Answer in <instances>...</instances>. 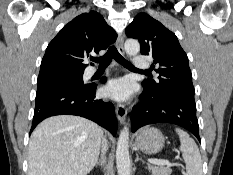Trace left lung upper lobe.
<instances>
[{
  "label": "left lung upper lobe",
  "mask_w": 233,
  "mask_h": 175,
  "mask_svg": "<svg viewBox=\"0 0 233 175\" xmlns=\"http://www.w3.org/2000/svg\"><path fill=\"white\" fill-rule=\"evenodd\" d=\"M129 38L138 39L141 54L154 58L152 68L159 73V82L145 79L142 86L153 95L171 91L195 93L188 57L176 35L146 13H139L126 28Z\"/></svg>",
  "instance_id": "left-lung-upper-lobe-1"
}]
</instances>
